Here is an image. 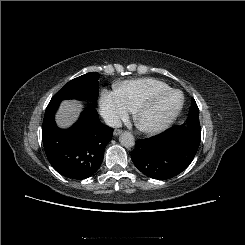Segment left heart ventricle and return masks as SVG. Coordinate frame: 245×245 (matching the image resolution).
Masks as SVG:
<instances>
[{
  "label": "left heart ventricle",
  "instance_id": "1",
  "mask_svg": "<svg viewBox=\"0 0 245 245\" xmlns=\"http://www.w3.org/2000/svg\"><path fill=\"white\" fill-rule=\"evenodd\" d=\"M179 93L170 94L155 102L140 115V121L144 125H153L170 115L180 104Z\"/></svg>",
  "mask_w": 245,
  "mask_h": 245
}]
</instances>
